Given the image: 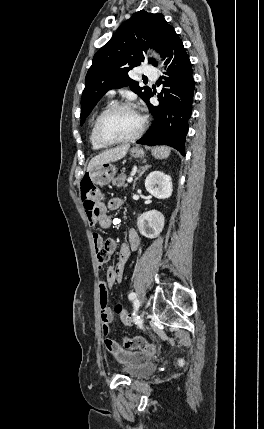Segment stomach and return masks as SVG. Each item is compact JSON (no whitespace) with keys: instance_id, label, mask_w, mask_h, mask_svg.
Here are the masks:
<instances>
[{"instance_id":"stomach-1","label":"stomach","mask_w":264,"mask_h":429,"mask_svg":"<svg viewBox=\"0 0 264 429\" xmlns=\"http://www.w3.org/2000/svg\"><path fill=\"white\" fill-rule=\"evenodd\" d=\"M152 155L156 159L167 158L170 154V149L165 146H157L152 149ZM130 155L133 158H143L145 151L140 147H134L130 150ZM116 174V168L112 164L105 163L92 168L86 174L93 184L100 186L107 185L111 182Z\"/></svg>"}]
</instances>
